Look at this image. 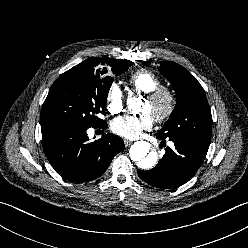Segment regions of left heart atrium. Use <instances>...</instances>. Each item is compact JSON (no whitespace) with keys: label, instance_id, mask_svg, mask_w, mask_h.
Instances as JSON below:
<instances>
[{"label":"left heart atrium","instance_id":"39dd6f15","mask_svg":"<svg viewBox=\"0 0 248 248\" xmlns=\"http://www.w3.org/2000/svg\"><path fill=\"white\" fill-rule=\"evenodd\" d=\"M153 125V117L149 113L141 115H125L116 118L112 124V131L128 139H136L144 130H149Z\"/></svg>","mask_w":248,"mask_h":248}]
</instances>
